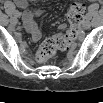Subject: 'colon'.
Returning a JSON list of instances; mask_svg holds the SVG:
<instances>
[{"mask_svg": "<svg viewBox=\"0 0 103 103\" xmlns=\"http://www.w3.org/2000/svg\"><path fill=\"white\" fill-rule=\"evenodd\" d=\"M70 28L65 33L47 38L42 42L37 53V61L44 63L58 50H68L78 39L82 23L85 19V5L75 2L68 13Z\"/></svg>", "mask_w": 103, "mask_h": 103, "instance_id": "1", "label": "colon"}]
</instances>
